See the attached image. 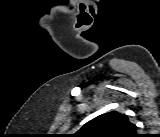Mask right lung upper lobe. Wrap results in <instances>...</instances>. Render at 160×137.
<instances>
[{
	"instance_id": "right-lung-upper-lobe-1",
	"label": "right lung upper lobe",
	"mask_w": 160,
	"mask_h": 137,
	"mask_svg": "<svg viewBox=\"0 0 160 137\" xmlns=\"http://www.w3.org/2000/svg\"><path fill=\"white\" fill-rule=\"evenodd\" d=\"M137 127L116 111L102 114L87 122L76 133L80 137H135Z\"/></svg>"
}]
</instances>
